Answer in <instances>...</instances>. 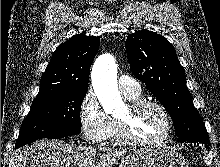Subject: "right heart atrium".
<instances>
[{"label": "right heart atrium", "instance_id": "obj_1", "mask_svg": "<svg viewBox=\"0 0 220 167\" xmlns=\"http://www.w3.org/2000/svg\"><path fill=\"white\" fill-rule=\"evenodd\" d=\"M79 121L83 137L91 144H101L111 128V118L103 110L94 91L88 89L79 105Z\"/></svg>", "mask_w": 220, "mask_h": 167}]
</instances>
